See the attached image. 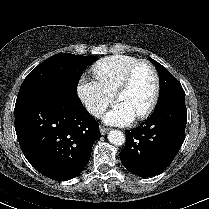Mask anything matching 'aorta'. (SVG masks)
I'll return each instance as SVG.
<instances>
[{
	"mask_svg": "<svg viewBox=\"0 0 209 209\" xmlns=\"http://www.w3.org/2000/svg\"><path fill=\"white\" fill-rule=\"evenodd\" d=\"M108 140L115 146H121L125 142V136L120 130H111L108 133Z\"/></svg>",
	"mask_w": 209,
	"mask_h": 209,
	"instance_id": "762f6f07",
	"label": "aorta"
}]
</instances>
